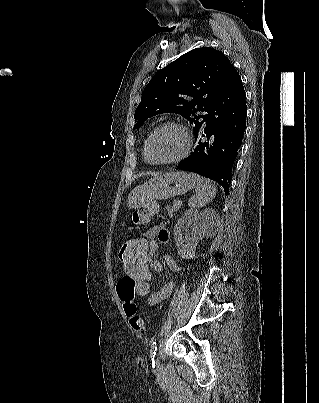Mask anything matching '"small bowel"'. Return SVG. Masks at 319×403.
<instances>
[{"label":"small bowel","mask_w":319,"mask_h":403,"mask_svg":"<svg viewBox=\"0 0 319 403\" xmlns=\"http://www.w3.org/2000/svg\"><path fill=\"white\" fill-rule=\"evenodd\" d=\"M155 212L158 211L157 203L153 202ZM141 238H146V242H148L149 255L151 259L150 271L153 270L156 273L161 274L163 272L162 263L154 258V254L157 251L158 244H167L169 242L170 236L168 231L162 224L155 225L151 227ZM120 261L121 258L119 257ZM165 261L170 269L174 272H178L181 270V266L177 263V261L172 258L170 255L165 256ZM175 288V283L172 279L167 278L160 289L151 291L150 296H141L146 297L147 304L150 306L156 305L161 301L166 300ZM135 296V283L132 284V288Z\"/></svg>","instance_id":"c3829d8e"}]
</instances>
